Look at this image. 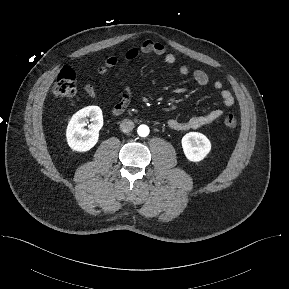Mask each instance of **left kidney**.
Masks as SVG:
<instances>
[{"mask_svg": "<svg viewBox=\"0 0 289 289\" xmlns=\"http://www.w3.org/2000/svg\"><path fill=\"white\" fill-rule=\"evenodd\" d=\"M181 143L185 156L193 162L203 160L211 150L210 140L204 134L198 132L185 134Z\"/></svg>", "mask_w": 289, "mask_h": 289, "instance_id": "left-kidney-1", "label": "left kidney"}]
</instances>
